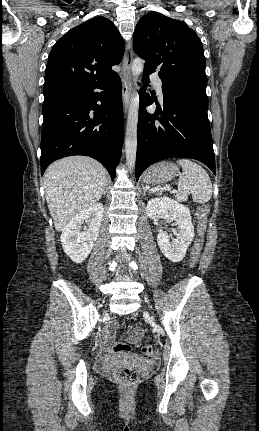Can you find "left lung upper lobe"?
Instances as JSON below:
<instances>
[{
	"label": "left lung upper lobe",
	"instance_id": "obj_1",
	"mask_svg": "<svg viewBox=\"0 0 259 431\" xmlns=\"http://www.w3.org/2000/svg\"><path fill=\"white\" fill-rule=\"evenodd\" d=\"M133 45L145 60L144 71H159L163 84L206 93L203 45L183 21L150 12L137 23Z\"/></svg>",
	"mask_w": 259,
	"mask_h": 431
}]
</instances>
